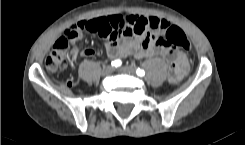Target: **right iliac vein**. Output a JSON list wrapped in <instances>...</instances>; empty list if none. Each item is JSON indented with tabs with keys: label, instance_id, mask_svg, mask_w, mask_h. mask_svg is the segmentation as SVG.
Listing matches in <instances>:
<instances>
[{
	"label": "right iliac vein",
	"instance_id": "63e3f726",
	"mask_svg": "<svg viewBox=\"0 0 245 145\" xmlns=\"http://www.w3.org/2000/svg\"><path fill=\"white\" fill-rule=\"evenodd\" d=\"M112 71H113V67H111V66H106V67H104L103 70H102V75H103V76L110 75V74L112 73Z\"/></svg>",
	"mask_w": 245,
	"mask_h": 145
}]
</instances>
